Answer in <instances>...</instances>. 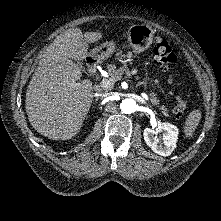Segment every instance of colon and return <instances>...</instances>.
Wrapping results in <instances>:
<instances>
[{"mask_svg": "<svg viewBox=\"0 0 221 221\" xmlns=\"http://www.w3.org/2000/svg\"><path fill=\"white\" fill-rule=\"evenodd\" d=\"M153 58L160 66L165 69L177 68L180 66L178 55L172 49L170 44L162 39L157 38L153 47ZM186 109V100L182 95H178L175 99L174 113L180 118Z\"/></svg>", "mask_w": 221, "mask_h": 221, "instance_id": "1", "label": "colon"}]
</instances>
